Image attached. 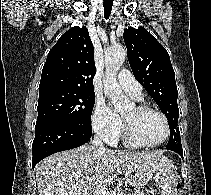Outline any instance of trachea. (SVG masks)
I'll return each mask as SVG.
<instances>
[{
  "label": "trachea",
  "mask_w": 211,
  "mask_h": 195,
  "mask_svg": "<svg viewBox=\"0 0 211 195\" xmlns=\"http://www.w3.org/2000/svg\"><path fill=\"white\" fill-rule=\"evenodd\" d=\"M112 5H113V2L111 0H106L104 1V17L105 19H108L109 16H110V13H111V10H112Z\"/></svg>",
  "instance_id": "3493384b"
}]
</instances>
